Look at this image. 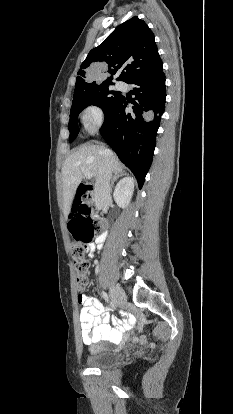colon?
<instances>
[{
  "instance_id": "1",
  "label": "colon",
  "mask_w": 233,
  "mask_h": 414,
  "mask_svg": "<svg viewBox=\"0 0 233 414\" xmlns=\"http://www.w3.org/2000/svg\"><path fill=\"white\" fill-rule=\"evenodd\" d=\"M102 223L93 218L87 207L81 212H72L69 220V230L76 239L72 245L71 255L76 270V284L78 292L85 290L88 285L89 261L85 258L86 247L95 235L102 230ZM81 298L78 296V301Z\"/></svg>"
}]
</instances>
